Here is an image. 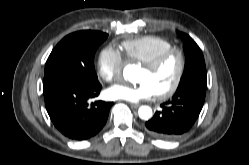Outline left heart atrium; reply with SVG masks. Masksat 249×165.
Masks as SVG:
<instances>
[{"instance_id": "39dd6f15", "label": "left heart atrium", "mask_w": 249, "mask_h": 165, "mask_svg": "<svg viewBox=\"0 0 249 165\" xmlns=\"http://www.w3.org/2000/svg\"><path fill=\"white\" fill-rule=\"evenodd\" d=\"M154 94L155 91L153 87L146 81H139L135 85L117 83L107 90L108 97L129 102H138L140 100L149 99Z\"/></svg>"}]
</instances>
